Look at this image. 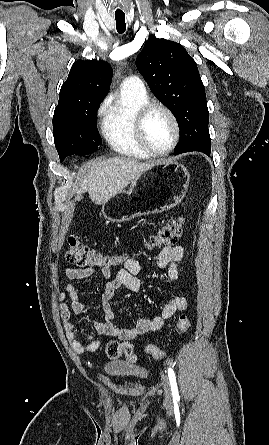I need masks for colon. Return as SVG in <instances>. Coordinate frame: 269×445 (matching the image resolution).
<instances>
[{
    "mask_svg": "<svg viewBox=\"0 0 269 445\" xmlns=\"http://www.w3.org/2000/svg\"><path fill=\"white\" fill-rule=\"evenodd\" d=\"M184 227V218L169 220L149 238L147 246L153 249L173 245L182 236ZM65 257L69 263L84 269H110L121 264L123 260V257L111 256L84 244L73 234L67 238ZM176 327L181 333L188 331L189 319L184 315L180 316ZM106 353L110 359H118L121 356H125L130 362L136 359L132 346L124 342L110 341L106 346ZM146 353L155 359H160L164 355L163 351L155 345L147 346Z\"/></svg>",
    "mask_w": 269,
    "mask_h": 445,
    "instance_id": "1",
    "label": "colon"
}]
</instances>
